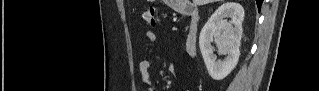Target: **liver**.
<instances>
[{
	"label": "liver",
	"instance_id": "liver-1",
	"mask_svg": "<svg viewBox=\"0 0 319 91\" xmlns=\"http://www.w3.org/2000/svg\"><path fill=\"white\" fill-rule=\"evenodd\" d=\"M214 0H193V3L195 5H204V4H208L210 2H213Z\"/></svg>",
	"mask_w": 319,
	"mask_h": 91
}]
</instances>
